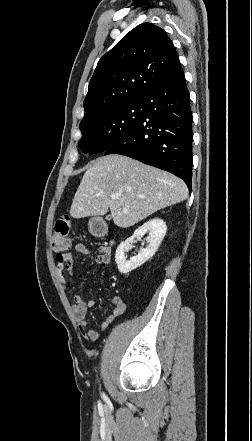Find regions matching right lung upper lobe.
Listing matches in <instances>:
<instances>
[{
    "instance_id": "obj_1",
    "label": "right lung upper lobe",
    "mask_w": 252,
    "mask_h": 441,
    "mask_svg": "<svg viewBox=\"0 0 252 441\" xmlns=\"http://www.w3.org/2000/svg\"><path fill=\"white\" fill-rule=\"evenodd\" d=\"M180 64L175 47L160 27L142 23L98 62L84 100V118L141 97Z\"/></svg>"
}]
</instances>
